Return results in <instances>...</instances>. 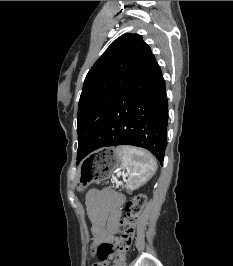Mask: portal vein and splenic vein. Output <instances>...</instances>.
<instances>
[{"instance_id": "18ae733b", "label": "portal vein and splenic vein", "mask_w": 233, "mask_h": 266, "mask_svg": "<svg viewBox=\"0 0 233 266\" xmlns=\"http://www.w3.org/2000/svg\"><path fill=\"white\" fill-rule=\"evenodd\" d=\"M121 175V173H118V176H120Z\"/></svg>"}]
</instances>
